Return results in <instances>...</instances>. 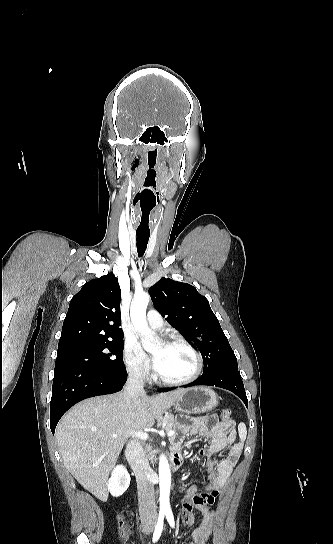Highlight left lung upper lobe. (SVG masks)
Instances as JSON below:
<instances>
[{"label": "left lung upper lobe", "mask_w": 333, "mask_h": 544, "mask_svg": "<svg viewBox=\"0 0 333 544\" xmlns=\"http://www.w3.org/2000/svg\"><path fill=\"white\" fill-rule=\"evenodd\" d=\"M155 309L169 324L198 347L203 374L222 367L238 368L235 354L208 300L196 288L170 278H161L150 288Z\"/></svg>", "instance_id": "5c2ea615"}]
</instances>
